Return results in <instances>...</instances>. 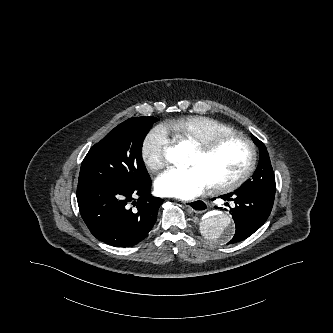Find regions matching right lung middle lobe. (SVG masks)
Returning a JSON list of instances; mask_svg holds the SVG:
<instances>
[{
  "label": "right lung middle lobe",
  "instance_id": "1",
  "mask_svg": "<svg viewBox=\"0 0 333 333\" xmlns=\"http://www.w3.org/2000/svg\"><path fill=\"white\" fill-rule=\"evenodd\" d=\"M155 117L130 118L111 130L85 156L78 186L96 182H120L130 186L147 177L141 149Z\"/></svg>",
  "mask_w": 333,
  "mask_h": 333
}]
</instances>
